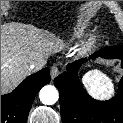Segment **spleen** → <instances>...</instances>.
Here are the masks:
<instances>
[{
  "instance_id": "3e777b00",
  "label": "spleen",
  "mask_w": 123,
  "mask_h": 123,
  "mask_svg": "<svg viewBox=\"0 0 123 123\" xmlns=\"http://www.w3.org/2000/svg\"><path fill=\"white\" fill-rule=\"evenodd\" d=\"M82 83L89 94L98 99H108L114 93L112 80L99 70L86 73L82 78Z\"/></svg>"
}]
</instances>
